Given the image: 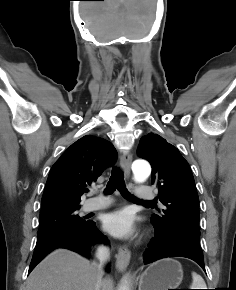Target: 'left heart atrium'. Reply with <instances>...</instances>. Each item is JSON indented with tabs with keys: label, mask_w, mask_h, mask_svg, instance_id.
Segmentation results:
<instances>
[{
	"label": "left heart atrium",
	"mask_w": 236,
	"mask_h": 290,
	"mask_svg": "<svg viewBox=\"0 0 236 290\" xmlns=\"http://www.w3.org/2000/svg\"><path fill=\"white\" fill-rule=\"evenodd\" d=\"M103 225L107 232L116 237L128 238L134 233L133 217L125 209L109 213L105 217Z\"/></svg>",
	"instance_id": "obj_1"
}]
</instances>
